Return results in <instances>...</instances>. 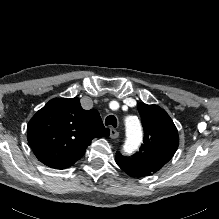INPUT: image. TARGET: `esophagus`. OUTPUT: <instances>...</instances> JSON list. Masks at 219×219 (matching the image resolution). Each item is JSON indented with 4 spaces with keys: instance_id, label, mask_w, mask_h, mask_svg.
Instances as JSON below:
<instances>
[{
    "instance_id": "1",
    "label": "esophagus",
    "mask_w": 219,
    "mask_h": 219,
    "mask_svg": "<svg viewBox=\"0 0 219 219\" xmlns=\"http://www.w3.org/2000/svg\"><path fill=\"white\" fill-rule=\"evenodd\" d=\"M110 137H111L112 139L118 138V137H119V132H118L116 129L111 128V129H110Z\"/></svg>"
}]
</instances>
